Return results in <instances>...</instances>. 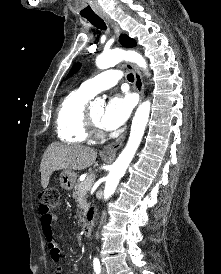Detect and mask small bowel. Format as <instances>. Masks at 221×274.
<instances>
[{
  "instance_id": "obj_1",
  "label": "small bowel",
  "mask_w": 221,
  "mask_h": 274,
  "mask_svg": "<svg viewBox=\"0 0 221 274\" xmlns=\"http://www.w3.org/2000/svg\"><path fill=\"white\" fill-rule=\"evenodd\" d=\"M38 210L40 214L41 231L45 240L46 247L53 262L58 264L61 260V250L55 241L53 233V223L56 220V215L51 212L50 207L46 206L43 203L39 205ZM55 274H63V268L61 266H57L55 269ZM79 274L85 273L80 272Z\"/></svg>"
}]
</instances>
